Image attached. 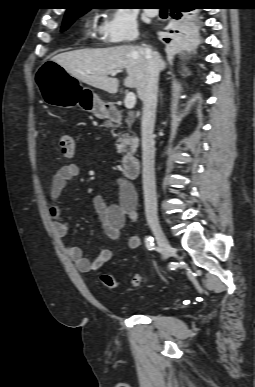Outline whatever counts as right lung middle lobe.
Wrapping results in <instances>:
<instances>
[{
	"mask_svg": "<svg viewBox=\"0 0 255 387\" xmlns=\"http://www.w3.org/2000/svg\"><path fill=\"white\" fill-rule=\"evenodd\" d=\"M85 12L86 11H70L66 13L63 20L61 31H65L66 29H68L70 25L75 21V19L83 15Z\"/></svg>",
	"mask_w": 255,
	"mask_h": 387,
	"instance_id": "right-lung-middle-lobe-1",
	"label": "right lung middle lobe"
}]
</instances>
